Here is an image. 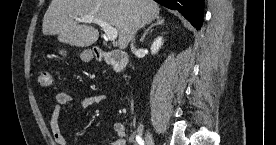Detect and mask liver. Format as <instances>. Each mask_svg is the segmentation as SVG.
<instances>
[{
  "label": "liver",
  "mask_w": 276,
  "mask_h": 145,
  "mask_svg": "<svg viewBox=\"0 0 276 145\" xmlns=\"http://www.w3.org/2000/svg\"><path fill=\"white\" fill-rule=\"evenodd\" d=\"M159 5L152 0H52L42 23L44 35H58L60 42L88 47L99 38L97 29L79 25L75 18L94 16L118 31V47L123 50L135 33L159 18Z\"/></svg>",
  "instance_id": "1"
}]
</instances>
